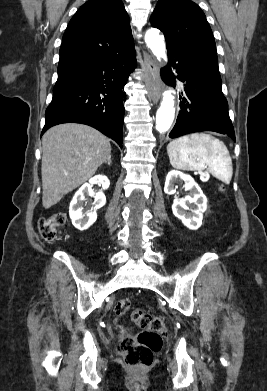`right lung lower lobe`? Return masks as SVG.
<instances>
[{"mask_svg":"<svg viewBox=\"0 0 267 391\" xmlns=\"http://www.w3.org/2000/svg\"><path fill=\"white\" fill-rule=\"evenodd\" d=\"M134 48L58 76L45 112L44 134L61 123H82L112 138L122 148L125 92L136 66Z\"/></svg>","mask_w":267,"mask_h":391,"instance_id":"right-lung-lower-lobe-1","label":"right lung lower lobe"}]
</instances>
